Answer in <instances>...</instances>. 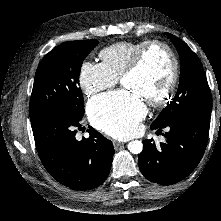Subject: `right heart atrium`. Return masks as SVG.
<instances>
[{
	"mask_svg": "<svg viewBox=\"0 0 221 221\" xmlns=\"http://www.w3.org/2000/svg\"><path fill=\"white\" fill-rule=\"evenodd\" d=\"M85 94L92 96L117 84L118 79L109 73L101 63L85 61L79 75Z\"/></svg>",
	"mask_w": 221,
	"mask_h": 221,
	"instance_id": "obj_1",
	"label": "right heart atrium"
}]
</instances>
